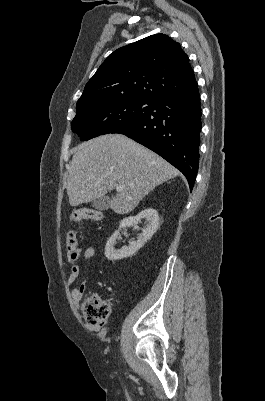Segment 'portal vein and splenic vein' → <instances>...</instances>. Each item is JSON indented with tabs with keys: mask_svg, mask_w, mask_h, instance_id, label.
<instances>
[{
	"mask_svg": "<svg viewBox=\"0 0 265 401\" xmlns=\"http://www.w3.org/2000/svg\"><path fill=\"white\" fill-rule=\"evenodd\" d=\"M117 190H123L124 186L123 184H116Z\"/></svg>",
	"mask_w": 265,
	"mask_h": 401,
	"instance_id": "obj_1",
	"label": "portal vein and splenic vein"
}]
</instances>
